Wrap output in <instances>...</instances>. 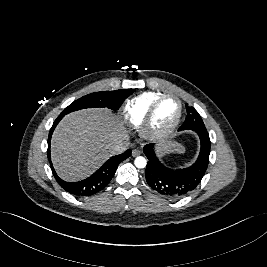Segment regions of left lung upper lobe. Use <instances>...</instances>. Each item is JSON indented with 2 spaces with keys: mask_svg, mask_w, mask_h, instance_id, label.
I'll return each instance as SVG.
<instances>
[{
  "mask_svg": "<svg viewBox=\"0 0 267 267\" xmlns=\"http://www.w3.org/2000/svg\"><path fill=\"white\" fill-rule=\"evenodd\" d=\"M187 117L179 128V130L185 129H206L199 113L193 108L186 105Z\"/></svg>",
  "mask_w": 267,
  "mask_h": 267,
  "instance_id": "1",
  "label": "left lung upper lobe"
}]
</instances>
